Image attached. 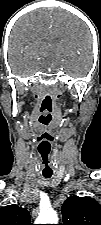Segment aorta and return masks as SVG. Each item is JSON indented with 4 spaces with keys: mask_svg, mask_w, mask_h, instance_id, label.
I'll use <instances>...</instances> for the list:
<instances>
[{
    "mask_svg": "<svg viewBox=\"0 0 101 225\" xmlns=\"http://www.w3.org/2000/svg\"><path fill=\"white\" fill-rule=\"evenodd\" d=\"M58 216L53 209L42 211L36 219V224H57Z\"/></svg>",
    "mask_w": 101,
    "mask_h": 225,
    "instance_id": "aorta-1",
    "label": "aorta"
}]
</instances>
